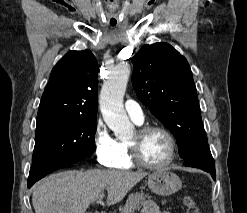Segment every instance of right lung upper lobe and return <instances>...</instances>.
Instances as JSON below:
<instances>
[{"label":"right lung upper lobe","instance_id":"cb5924a9","mask_svg":"<svg viewBox=\"0 0 247 213\" xmlns=\"http://www.w3.org/2000/svg\"><path fill=\"white\" fill-rule=\"evenodd\" d=\"M98 64L89 50L70 51L53 68L37 119L97 116Z\"/></svg>","mask_w":247,"mask_h":213}]
</instances>
